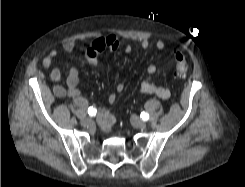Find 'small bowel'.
Here are the masks:
<instances>
[{
    "instance_id": "small-bowel-1",
    "label": "small bowel",
    "mask_w": 245,
    "mask_h": 187,
    "mask_svg": "<svg viewBox=\"0 0 245 187\" xmlns=\"http://www.w3.org/2000/svg\"><path fill=\"white\" fill-rule=\"evenodd\" d=\"M140 45L143 49L149 47V40L143 38L140 41ZM166 47V43L163 39H159L155 43V48L157 50H163ZM75 48V44L72 41H67L63 44V50L67 53H71ZM120 48V43L114 36L101 37L93 41L85 50L84 57L88 64L96 66L98 64L99 55L108 51H117ZM125 51L130 52L132 50L131 46H125ZM58 56V50L53 49L49 54L43 59L42 66L44 69L49 71V77L51 81L55 84L53 85V93L57 97H78L80 95L79 85V66H72L66 78V86L61 85L59 82L62 79L61 70L54 65V59ZM158 71V67L151 64L147 68L148 76L141 82L140 91L144 94L156 95L161 99H168L171 95L170 89L167 86L156 84L152 81V76H154ZM125 86L123 83H118L116 90L118 93L123 92ZM116 95L112 94L109 97L111 103L116 101ZM115 123V117L108 108L100 109V124L102 128L109 132Z\"/></svg>"
}]
</instances>
